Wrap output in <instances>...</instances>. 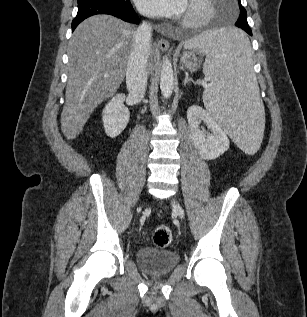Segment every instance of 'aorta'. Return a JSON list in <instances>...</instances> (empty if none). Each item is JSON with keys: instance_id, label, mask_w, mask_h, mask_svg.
Here are the masks:
<instances>
[{"instance_id": "762f6f07", "label": "aorta", "mask_w": 307, "mask_h": 317, "mask_svg": "<svg viewBox=\"0 0 307 317\" xmlns=\"http://www.w3.org/2000/svg\"><path fill=\"white\" fill-rule=\"evenodd\" d=\"M174 89V76L171 60L168 57L163 59L160 75V90L164 98H170Z\"/></svg>"}]
</instances>
